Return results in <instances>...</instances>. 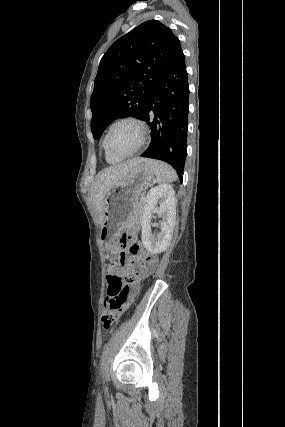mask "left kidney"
<instances>
[{"label": "left kidney", "mask_w": 285, "mask_h": 427, "mask_svg": "<svg viewBox=\"0 0 285 427\" xmlns=\"http://www.w3.org/2000/svg\"><path fill=\"white\" fill-rule=\"evenodd\" d=\"M160 204L157 207V204ZM157 208L162 215L161 231L154 235L151 231V213ZM176 218L175 192L168 184L151 188L146 196L142 216V243L153 254L165 251L172 239Z\"/></svg>", "instance_id": "5707ae66"}]
</instances>
